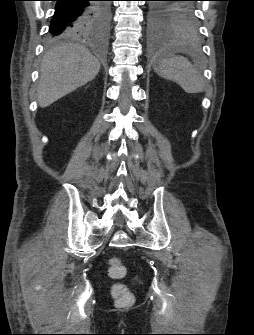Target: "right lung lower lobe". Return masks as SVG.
<instances>
[{"mask_svg": "<svg viewBox=\"0 0 254 335\" xmlns=\"http://www.w3.org/2000/svg\"><path fill=\"white\" fill-rule=\"evenodd\" d=\"M55 12L51 19L49 36L59 37L67 33L90 34V27L98 17V0H55Z\"/></svg>", "mask_w": 254, "mask_h": 335, "instance_id": "1", "label": "right lung lower lobe"}]
</instances>
